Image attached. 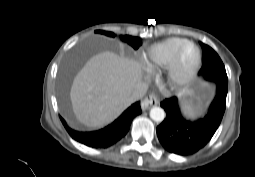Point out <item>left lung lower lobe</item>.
<instances>
[{
    "instance_id": "obj_1",
    "label": "left lung lower lobe",
    "mask_w": 255,
    "mask_h": 177,
    "mask_svg": "<svg viewBox=\"0 0 255 177\" xmlns=\"http://www.w3.org/2000/svg\"><path fill=\"white\" fill-rule=\"evenodd\" d=\"M214 82L217 86L216 96L207 114L198 120L190 121L182 116L176 97L161 102L167 116L157 127V136L168 152L182 156L192 155L211 140L223 118L228 91V82Z\"/></svg>"
}]
</instances>
